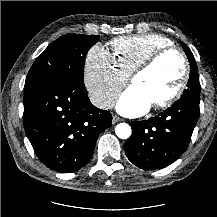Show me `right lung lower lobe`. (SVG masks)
I'll return each mask as SVG.
<instances>
[{
    "label": "right lung lower lobe",
    "instance_id": "1",
    "mask_svg": "<svg viewBox=\"0 0 217 217\" xmlns=\"http://www.w3.org/2000/svg\"><path fill=\"white\" fill-rule=\"evenodd\" d=\"M24 128L37 157L50 169L71 173L90 160L110 112L93 106L86 88L62 78L24 87Z\"/></svg>",
    "mask_w": 217,
    "mask_h": 217
}]
</instances>
